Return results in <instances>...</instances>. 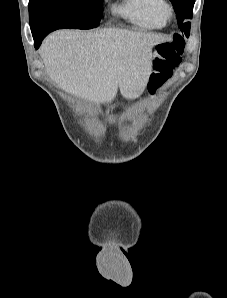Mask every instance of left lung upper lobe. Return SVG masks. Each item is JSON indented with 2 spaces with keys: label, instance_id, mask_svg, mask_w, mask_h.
<instances>
[{
  "label": "left lung upper lobe",
  "instance_id": "1",
  "mask_svg": "<svg viewBox=\"0 0 227 298\" xmlns=\"http://www.w3.org/2000/svg\"><path fill=\"white\" fill-rule=\"evenodd\" d=\"M176 12V17L180 30L189 37L190 22L186 19H191L193 15V6L195 0H170Z\"/></svg>",
  "mask_w": 227,
  "mask_h": 298
}]
</instances>
